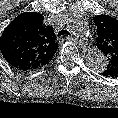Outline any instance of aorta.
<instances>
[{
  "label": "aorta",
  "instance_id": "1",
  "mask_svg": "<svg viewBox=\"0 0 118 118\" xmlns=\"http://www.w3.org/2000/svg\"><path fill=\"white\" fill-rule=\"evenodd\" d=\"M67 24L72 32L81 39H89L91 30L88 23L80 16L71 14L67 18ZM87 65L94 71L103 72L107 66L104 54L99 50L91 51L86 57Z\"/></svg>",
  "mask_w": 118,
  "mask_h": 118
}]
</instances>
